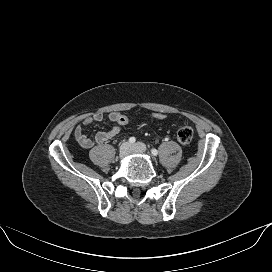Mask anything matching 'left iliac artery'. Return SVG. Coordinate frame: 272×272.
<instances>
[{
  "mask_svg": "<svg viewBox=\"0 0 272 272\" xmlns=\"http://www.w3.org/2000/svg\"><path fill=\"white\" fill-rule=\"evenodd\" d=\"M151 153L153 156H157L158 155V151L156 149H152Z\"/></svg>",
  "mask_w": 272,
  "mask_h": 272,
  "instance_id": "left-iliac-artery-1",
  "label": "left iliac artery"
}]
</instances>
